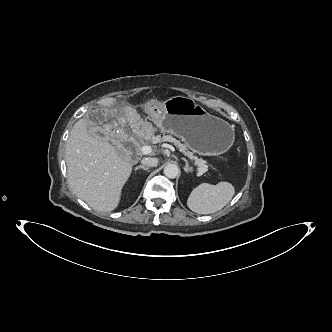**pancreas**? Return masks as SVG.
Wrapping results in <instances>:
<instances>
[{"instance_id": "cf45deb5", "label": "pancreas", "mask_w": 332, "mask_h": 332, "mask_svg": "<svg viewBox=\"0 0 332 332\" xmlns=\"http://www.w3.org/2000/svg\"><path fill=\"white\" fill-rule=\"evenodd\" d=\"M151 143L153 144H158V143H162V142H170L173 143L180 152H183L186 154V156H188L191 160L195 161V165L197 166V171L199 170H205L204 172L207 171L208 166L206 165V162L201 159L198 158L197 156H195L192 152H190L187 147L182 144L179 140H177L176 138L172 137L171 135H157L151 138Z\"/></svg>"}]
</instances>
